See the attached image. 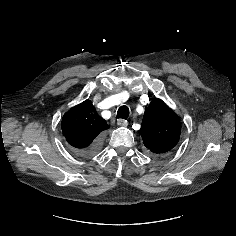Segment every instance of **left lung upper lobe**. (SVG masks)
I'll return each instance as SVG.
<instances>
[{
    "label": "left lung upper lobe",
    "instance_id": "1",
    "mask_svg": "<svg viewBox=\"0 0 236 236\" xmlns=\"http://www.w3.org/2000/svg\"><path fill=\"white\" fill-rule=\"evenodd\" d=\"M140 133L147 150L154 156H162L177 145L181 122L162 100L154 99L145 110Z\"/></svg>",
    "mask_w": 236,
    "mask_h": 236
}]
</instances>
